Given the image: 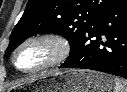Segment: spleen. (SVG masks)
Returning a JSON list of instances; mask_svg holds the SVG:
<instances>
[{"label": "spleen", "mask_w": 127, "mask_h": 92, "mask_svg": "<svg viewBox=\"0 0 127 92\" xmlns=\"http://www.w3.org/2000/svg\"><path fill=\"white\" fill-rule=\"evenodd\" d=\"M114 92H127V81L116 77L114 79Z\"/></svg>", "instance_id": "3e777b00"}]
</instances>
